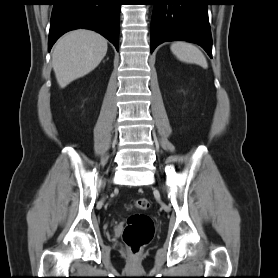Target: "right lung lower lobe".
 Returning <instances> with one entry per match:
<instances>
[{
    "label": "right lung lower lobe",
    "mask_w": 278,
    "mask_h": 278,
    "mask_svg": "<svg viewBox=\"0 0 278 278\" xmlns=\"http://www.w3.org/2000/svg\"><path fill=\"white\" fill-rule=\"evenodd\" d=\"M48 50L65 32L85 28L106 37L118 50L121 0H54Z\"/></svg>",
    "instance_id": "obj_1"
}]
</instances>
